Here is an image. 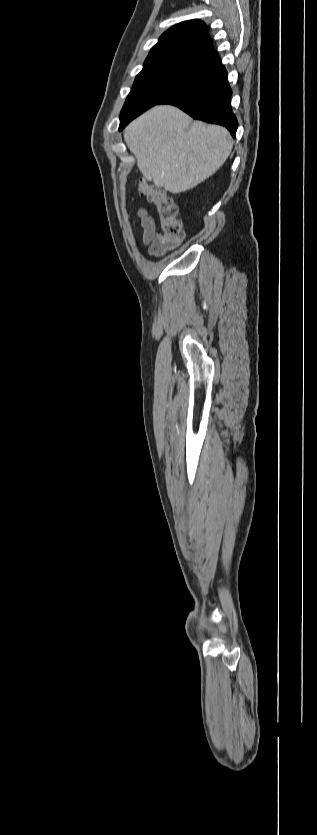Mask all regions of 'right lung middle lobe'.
<instances>
[{
	"instance_id": "right-lung-middle-lobe-1",
	"label": "right lung middle lobe",
	"mask_w": 317,
	"mask_h": 835,
	"mask_svg": "<svg viewBox=\"0 0 317 835\" xmlns=\"http://www.w3.org/2000/svg\"><path fill=\"white\" fill-rule=\"evenodd\" d=\"M204 81L205 75L197 70L191 59L142 70L121 111L119 129L150 107Z\"/></svg>"
}]
</instances>
